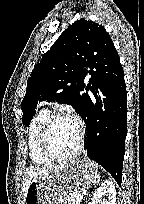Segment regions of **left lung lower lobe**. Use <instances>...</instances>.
Here are the masks:
<instances>
[{"mask_svg":"<svg viewBox=\"0 0 144 204\" xmlns=\"http://www.w3.org/2000/svg\"><path fill=\"white\" fill-rule=\"evenodd\" d=\"M83 93L87 156L105 168L121 185L124 144L127 133V98L120 59L109 69L92 66Z\"/></svg>","mask_w":144,"mask_h":204,"instance_id":"0a47b994","label":"left lung lower lobe"}]
</instances>
